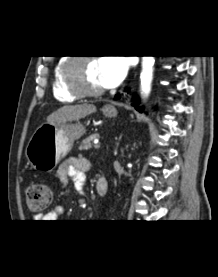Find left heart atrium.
Instances as JSON below:
<instances>
[{
  "instance_id": "left-heart-atrium-1",
  "label": "left heart atrium",
  "mask_w": 218,
  "mask_h": 277,
  "mask_svg": "<svg viewBox=\"0 0 218 277\" xmlns=\"http://www.w3.org/2000/svg\"><path fill=\"white\" fill-rule=\"evenodd\" d=\"M128 62L123 57H104L98 62L99 79L102 87L113 88L125 77Z\"/></svg>"
}]
</instances>
